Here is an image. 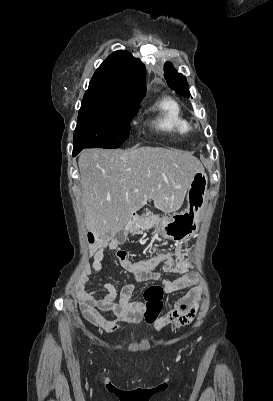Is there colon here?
<instances>
[{
    "instance_id": "obj_1",
    "label": "colon",
    "mask_w": 273,
    "mask_h": 401,
    "mask_svg": "<svg viewBox=\"0 0 273 401\" xmlns=\"http://www.w3.org/2000/svg\"><path fill=\"white\" fill-rule=\"evenodd\" d=\"M78 285H83V280H78ZM144 293L146 296L144 308L145 323L147 325H153L162 315L164 309V291L159 285H150ZM74 294L77 297H95L97 295V290L91 288V286H86V288L75 289ZM168 322H171V317H168Z\"/></svg>"
}]
</instances>
